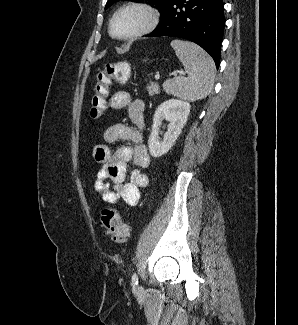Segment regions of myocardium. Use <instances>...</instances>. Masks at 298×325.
<instances>
[{
	"instance_id": "f54148a6",
	"label": "myocardium",
	"mask_w": 298,
	"mask_h": 325,
	"mask_svg": "<svg viewBox=\"0 0 298 325\" xmlns=\"http://www.w3.org/2000/svg\"><path fill=\"white\" fill-rule=\"evenodd\" d=\"M124 14L138 15L141 19V24L138 30L132 35L128 37H118L114 33L115 22L121 15ZM155 22H156L155 16L152 10H150L148 7L143 5H137V4L127 5L119 9L112 17L110 23V35L113 39L117 41L131 43L136 41L138 38L145 35L146 33H148L154 27Z\"/></svg>"
}]
</instances>
